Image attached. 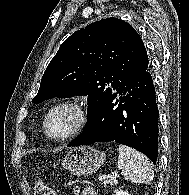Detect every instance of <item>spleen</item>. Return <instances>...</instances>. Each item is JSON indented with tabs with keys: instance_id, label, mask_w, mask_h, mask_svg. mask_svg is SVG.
<instances>
[{
	"instance_id": "1",
	"label": "spleen",
	"mask_w": 189,
	"mask_h": 195,
	"mask_svg": "<svg viewBox=\"0 0 189 195\" xmlns=\"http://www.w3.org/2000/svg\"><path fill=\"white\" fill-rule=\"evenodd\" d=\"M118 149L117 167L122 171L124 178L133 183L149 184L153 180L154 173L148 158L125 145H119Z\"/></svg>"
}]
</instances>
